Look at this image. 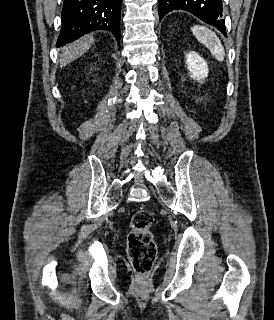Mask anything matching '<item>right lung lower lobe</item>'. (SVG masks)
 I'll return each mask as SVG.
<instances>
[{
	"label": "right lung lower lobe",
	"mask_w": 274,
	"mask_h": 320,
	"mask_svg": "<svg viewBox=\"0 0 274 320\" xmlns=\"http://www.w3.org/2000/svg\"><path fill=\"white\" fill-rule=\"evenodd\" d=\"M122 0H64L57 47L94 30L112 32L120 40Z\"/></svg>",
	"instance_id": "right-lung-lower-lobe-1"
}]
</instances>
